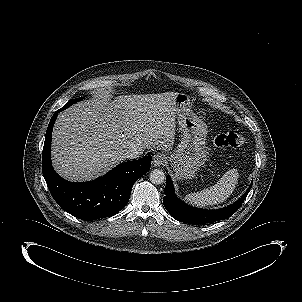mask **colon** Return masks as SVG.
<instances>
[{
  "label": "colon",
  "instance_id": "colon-1",
  "mask_svg": "<svg viewBox=\"0 0 302 302\" xmlns=\"http://www.w3.org/2000/svg\"><path fill=\"white\" fill-rule=\"evenodd\" d=\"M244 143V137L236 132L217 134L213 138V146L216 148H235Z\"/></svg>",
  "mask_w": 302,
  "mask_h": 302
}]
</instances>
